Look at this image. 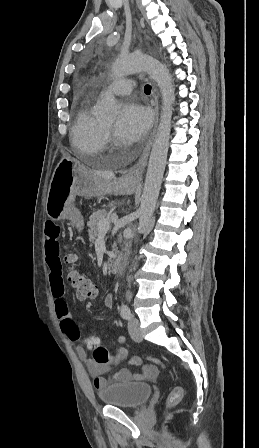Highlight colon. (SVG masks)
Segmentation results:
<instances>
[{
    "label": "colon",
    "mask_w": 259,
    "mask_h": 448,
    "mask_svg": "<svg viewBox=\"0 0 259 448\" xmlns=\"http://www.w3.org/2000/svg\"><path fill=\"white\" fill-rule=\"evenodd\" d=\"M77 261V256L75 254L69 253L65 256V262L70 266L68 273V279L74 290V294L78 299L85 300L89 298H94L97 295L96 285L87 277L80 274L75 268V263ZM86 346L93 352V360L99 364H119L128 359L126 355H112L110 351L101 345L100 340L97 336H89L84 340ZM138 358V357H137ZM146 360L152 362L153 364L165 368V364L157 358L146 357ZM183 395V390L181 387L176 386L172 389L168 395L166 406L167 408H172L176 406Z\"/></svg>",
    "instance_id": "5ec220e1"
}]
</instances>
